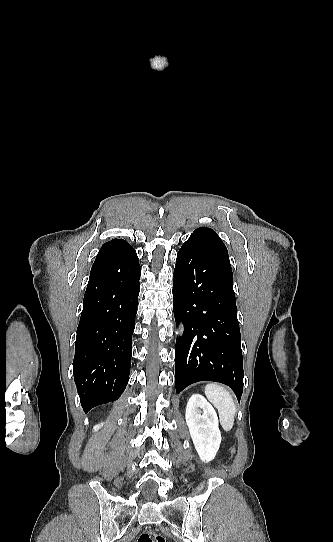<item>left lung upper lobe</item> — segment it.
<instances>
[{"mask_svg": "<svg viewBox=\"0 0 333 542\" xmlns=\"http://www.w3.org/2000/svg\"><path fill=\"white\" fill-rule=\"evenodd\" d=\"M195 241L210 252L222 255L229 259L228 251L220 237L210 228H197L187 241Z\"/></svg>", "mask_w": 333, "mask_h": 542, "instance_id": "1", "label": "left lung upper lobe"}]
</instances>
